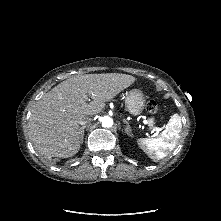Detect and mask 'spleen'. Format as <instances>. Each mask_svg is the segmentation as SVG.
Here are the masks:
<instances>
[{
  "instance_id": "3e777b00",
  "label": "spleen",
  "mask_w": 221,
  "mask_h": 221,
  "mask_svg": "<svg viewBox=\"0 0 221 221\" xmlns=\"http://www.w3.org/2000/svg\"><path fill=\"white\" fill-rule=\"evenodd\" d=\"M181 129V117L176 113L170 118L167 127L158 137L142 138L138 144L151 159H163L175 148Z\"/></svg>"
}]
</instances>
